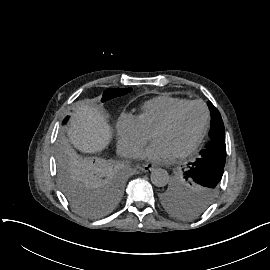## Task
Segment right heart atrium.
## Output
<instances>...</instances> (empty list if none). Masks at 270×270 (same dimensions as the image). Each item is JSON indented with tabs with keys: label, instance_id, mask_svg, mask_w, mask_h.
Returning <instances> with one entry per match:
<instances>
[{
	"label": "right heart atrium",
	"instance_id": "1",
	"mask_svg": "<svg viewBox=\"0 0 270 270\" xmlns=\"http://www.w3.org/2000/svg\"><path fill=\"white\" fill-rule=\"evenodd\" d=\"M118 152L121 156L133 158L148 141L146 133L134 116L123 114L116 124Z\"/></svg>",
	"mask_w": 270,
	"mask_h": 270
}]
</instances>
